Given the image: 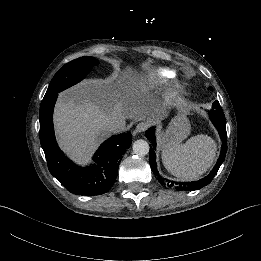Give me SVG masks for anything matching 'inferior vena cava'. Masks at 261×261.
<instances>
[{
  "label": "inferior vena cava",
  "instance_id": "602c4592",
  "mask_svg": "<svg viewBox=\"0 0 261 261\" xmlns=\"http://www.w3.org/2000/svg\"><path fill=\"white\" fill-rule=\"evenodd\" d=\"M107 128L109 131H111L113 133H118V132L125 130L126 122H125V120H123L121 118H117V119L113 120L112 122H110L108 124Z\"/></svg>",
  "mask_w": 261,
  "mask_h": 261
}]
</instances>
